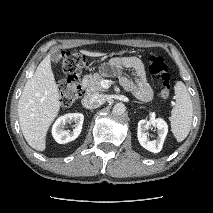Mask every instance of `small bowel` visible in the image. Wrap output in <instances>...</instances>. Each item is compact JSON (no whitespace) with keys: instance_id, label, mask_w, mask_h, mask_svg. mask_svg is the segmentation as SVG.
<instances>
[{"instance_id":"1","label":"small bowel","mask_w":213,"mask_h":213,"mask_svg":"<svg viewBox=\"0 0 213 213\" xmlns=\"http://www.w3.org/2000/svg\"><path fill=\"white\" fill-rule=\"evenodd\" d=\"M110 68L112 71L121 69L132 70L134 79L122 76L120 78L122 86L142 101H147L151 98L152 89L148 83L144 65L140 59L136 57H116L111 60Z\"/></svg>"}]
</instances>
